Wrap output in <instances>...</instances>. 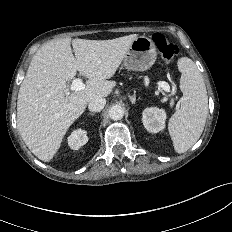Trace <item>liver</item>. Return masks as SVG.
<instances>
[{"instance_id":"obj_1","label":"liver","mask_w":232,"mask_h":232,"mask_svg":"<svg viewBox=\"0 0 232 232\" xmlns=\"http://www.w3.org/2000/svg\"><path fill=\"white\" fill-rule=\"evenodd\" d=\"M137 37L131 34L111 40L57 39L36 52L19 89L17 127L38 159L51 161L87 104L112 92L115 82L108 79L114 76ZM77 71L88 78L85 89L67 95L66 82Z\"/></svg>"}]
</instances>
